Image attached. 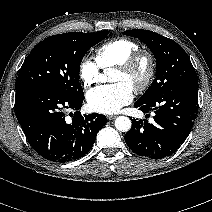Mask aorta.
Wrapping results in <instances>:
<instances>
[{"label": "aorta", "mask_w": 212, "mask_h": 212, "mask_svg": "<svg viewBox=\"0 0 212 212\" xmlns=\"http://www.w3.org/2000/svg\"><path fill=\"white\" fill-rule=\"evenodd\" d=\"M131 120L126 116H119L115 120V127L121 132H127L131 128Z\"/></svg>", "instance_id": "762f6f07"}]
</instances>
